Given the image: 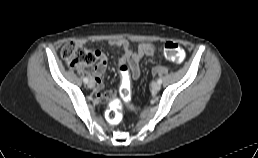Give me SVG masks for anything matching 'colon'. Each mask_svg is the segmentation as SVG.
<instances>
[{
    "mask_svg": "<svg viewBox=\"0 0 258 158\" xmlns=\"http://www.w3.org/2000/svg\"><path fill=\"white\" fill-rule=\"evenodd\" d=\"M164 56L171 62L181 63L185 57V51L180 44L174 41H167L161 45ZM62 57L68 62L71 67H78L82 65H92L96 61L94 53L88 51L83 46L75 41L66 43L61 50ZM122 84L120 88L121 98L125 101L130 98V67L123 62L119 67ZM121 101L113 99L109 103L107 118L112 124L120 122L121 115Z\"/></svg>",
    "mask_w": 258,
    "mask_h": 158,
    "instance_id": "1",
    "label": "colon"
}]
</instances>
